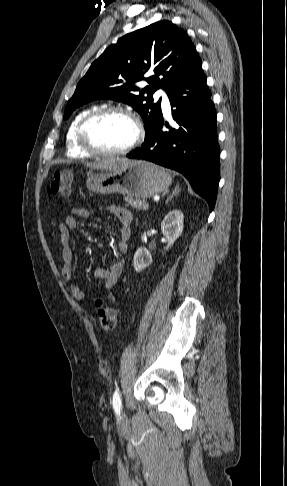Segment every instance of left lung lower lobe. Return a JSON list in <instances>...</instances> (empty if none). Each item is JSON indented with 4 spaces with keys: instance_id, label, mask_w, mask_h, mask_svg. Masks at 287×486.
<instances>
[{
    "instance_id": "1",
    "label": "left lung lower lobe",
    "mask_w": 287,
    "mask_h": 486,
    "mask_svg": "<svg viewBox=\"0 0 287 486\" xmlns=\"http://www.w3.org/2000/svg\"><path fill=\"white\" fill-rule=\"evenodd\" d=\"M177 128L162 131L160 120L146 131L141 148L128 158L147 160L182 173L209 204L216 202L220 150L216 110L202 70L201 59L167 89Z\"/></svg>"
}]
</instances>
